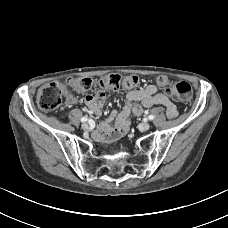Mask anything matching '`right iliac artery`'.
<instances>
[{
    "label": "right iliac artery",
    "mask_w": 228,
    "mask_h": 228,
    "mask_svg": "<svg viewBox=\"0 0 228 228\" xmlns=\"http://www.w3.org/2000/svg\"><path fill=\"white\" fill-rule=\"evenodd\" d=\"M88 119H87V117H82L81 118V122H86Z\"/></svg>",
    "instance_id": "82829eb1"
}]
</instances>
